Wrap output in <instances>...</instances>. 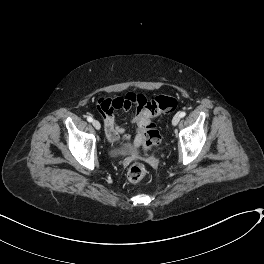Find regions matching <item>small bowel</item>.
Masks as SVG:
<instances>
[{"label": "small bowel", "mask_w": 264, "mask_h": 264, "mask_svg": "<svg viewBox=\"0 0 264 264\" xmlns=\"http://www.w3.org/2000/svg\"><path fill=\"white\" fill-rule=\"evenodd\" d=\"M145 97L142 94L128 93L120 98H99L95 107L102 117L107 140L112 147L124 145L131 139V132L128 128L117 123L114 111H129L134 109L130 123L135 125L136 135L134 146L139 147L142 143V132L140 130L144 116ZM122 135V137H120Z\"/></svg>", "instance_id": "small-bowel-1"}]
</instances>
